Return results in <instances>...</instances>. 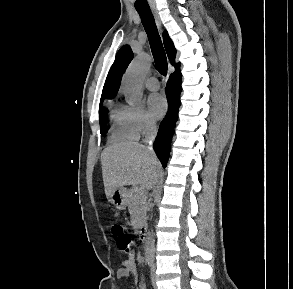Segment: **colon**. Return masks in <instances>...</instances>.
Here are the masks:
<instances>
[{"instance_id":"colon-1","label":"colon","mask_w":293,"mask_h":289,"mask_svg":"<svg viewBox=\"0 0 293 289\" xmlns=\"http://www.w3.org/2000/svg\"><path fill=\"white\" fill-rule=\"evenodd\" d=\"M110 230L118 248L126 253L132 252V235L119 223H112L110 226Z\"/></svg>"}]
</instances>
